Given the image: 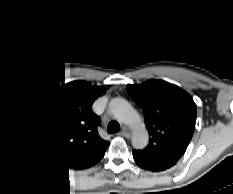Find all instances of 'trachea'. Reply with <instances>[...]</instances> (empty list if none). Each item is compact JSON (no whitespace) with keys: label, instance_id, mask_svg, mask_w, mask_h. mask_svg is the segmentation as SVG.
Segmentation results:
<instances>
[{"label":"trachea","instance_id":"trachea-1","mask_svg":"<svg viewBox=\"0 0 233 194\" xmlns=\"http://www.w3.org/2000/svg\"><path fill=\"white\" fill-rule=\"evenodd\" d=\"M119 125L116 122H110L108 124V131L111 133H115L119 131Z\"/></svg>","mask_w":233,"mask_h":194}]
</instances>
